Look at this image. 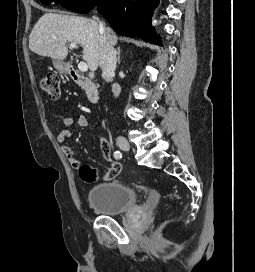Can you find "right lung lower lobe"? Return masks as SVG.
<instances>
[{"mask_svg":"<svg viewBox=\"0 0 255 272\" xmlns=\"http://www.w3.org/2000/svg\"><path fill=\"white\" fill-rule=\"evenodd\" d=\"M159 1L102 0L97 8L117 33L162 45L160 37L151 26V16Z\"/></svg>","mask_w":255,"mask_h":272,"instance_id":"obj_1","label":"right lung lower lobe"}]
</instances>
